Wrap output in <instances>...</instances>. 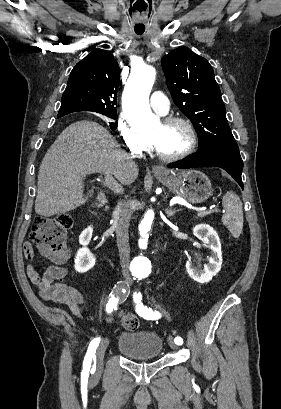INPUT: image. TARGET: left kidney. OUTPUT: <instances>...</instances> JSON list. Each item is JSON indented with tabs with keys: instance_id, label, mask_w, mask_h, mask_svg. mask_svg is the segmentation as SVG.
<instances>
[{
	"instance_id": "left-kidney-1",
	"label": "left kidney",
	"mask_w": 281,
	"mask_h": 409,
	"mask_svg": "<svg viewBox=\"0 0 281 409\" xmlns=\"http://www.w3.org/2000/svg\"><path fill=\"white\" fill-rule=\"evenodd\" d=\"M193 235L208 245L209 249H211V257L204 269L194 267L191 261H187L186 271L189 277L197 281V283H209L212 277H215L221 269L222 253L220 239L210 225H196V227H193Z\"/></svg>"
}]
</instances>
